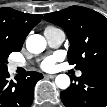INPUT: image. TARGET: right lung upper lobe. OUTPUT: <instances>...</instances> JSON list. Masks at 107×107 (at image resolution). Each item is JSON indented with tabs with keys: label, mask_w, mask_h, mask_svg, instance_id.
Masks as SVG:
<instances>
[{
	"label": "right lung upper lobe",
	"mask_w": 107,
	"mask_h": 107,
	"mask_svg": "<svg viewBox=\"0 0 107 107\" xmlns=\"http://www.w3.org/2000/svg\"><path fill=\"white\" fill-rule=\"evenodd\" d=\"M42 18L40 14L23 13L11 8H0V52L20 51L32 28Z\"/></svg>",
	"instance_id": "obj_1"
}]
</instances>
